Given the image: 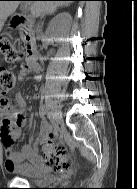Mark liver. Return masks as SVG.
<instances>
[{"label": "liver", "mask_w": 137, "mask_h": 189, "mask_svg": "<svg viewBox=\"0 0 137 189\" xmlns=\"http://www.w3.org/2000/svg\"><path fill=\"white\" fill-rule=\"evenodd\" d=\"M31 3V12L35 16L53 13L57 7L67 5L66 1H34ZM19 1H0V31L2 30L7 18L15 12Z\"/></svg>", "instance_id": "obj_1"}]
</instances>
